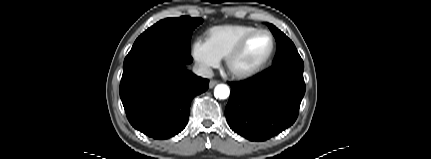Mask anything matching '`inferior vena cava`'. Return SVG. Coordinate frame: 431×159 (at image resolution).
<instances>
[{"label": "inferior vena cava", "instance_id": "1", "mask_svg": "<svg viewBox=\"0 0 431 159\" xmlns=\"http://www.w3.org/2000/svg\"><path fill=\"white\" fill-rule=\"evenodd\" d=\"M193 72L196 75L201 76L203 78H212L214 76L212 69L209 68L208 66L204 65V64H197L196 63L193 66Z\"/></svg>", "mask_w": 431, "mask_h": 159}]
</instances>
